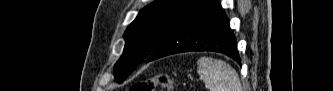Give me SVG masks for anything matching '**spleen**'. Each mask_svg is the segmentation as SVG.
Instances as JSON below:
<instances>
[{
	"label": "spleen",
	"mask_w": 333,
	"mask_h": 91,
	"mask_svg": "<svg viewBox=\"0 0 333 91\" xmlns=\"http://www.w3.org/2000/svg\"><path fill=\"white\" fill-rule=\"evenodd\" d=\"M197 72L209 91H242L237 72L223 60L201 57L197 61Z\"/></svg>",
	"instance_id": "obj_1"
}]
</instances>
